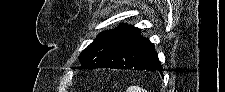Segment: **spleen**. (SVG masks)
I'll return each instance as SVG.
<instances>
[{
	"mask_svg": "<svg viewBox=\"0 0 225 92\" xmlns=\"http://www.w3.org/2000/svg\"><path fill=\"white\" fill-rule=\"evenodd\" d=\"M131 92H145V90L139 88V87H131L130 88Z\"/></svg>",
	"mask_w": 225,
	"mask_h": 92,
	"instance_id": "spleen-1",
	"label": "spleen"
}]
</instances>
